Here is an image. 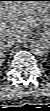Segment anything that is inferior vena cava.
<instances>
[{
  "label": "inferior vena cava",
  "mask_w": 50,
  "mask_h": 111,
  "mask_svg": "<svg viewBox=\"0 0 50 111\" xmlns=\"http://www.w3.org/2000/svg\"><path fill=\"white\" fill-rule=\"evenodd\" d=\"M15 41H18V39L13 38V37H10V38L8 39V41L3 45V48L5 49V48L11 47L12 45L15 44Z\"/></svg>",
  "instance_id": "inferior-vena-cava-1"
}]
</instances>
